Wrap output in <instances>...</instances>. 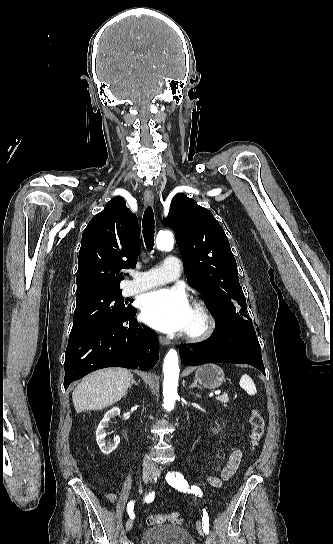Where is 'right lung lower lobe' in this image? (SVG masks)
I'll return each instance as SVG.
<instances>
[{
	"mask_svg": "<svg viewBox=\"0 0 333 544\" xmlns=\"http://www.w3.org/2000/svg\"><path fill=\"white\" fill-rule=\"evenodd\" d=\"M134 308L123 318L69 339L65 353V389L88 373L106 367L150 370L158 361L153 331L134 318Z\"/></svg>",
	"mask_w": 333,
	"mask_h": 544,
	"instance_id": "1",
	"label": "right lung lower lobe"
}]
</instances>
